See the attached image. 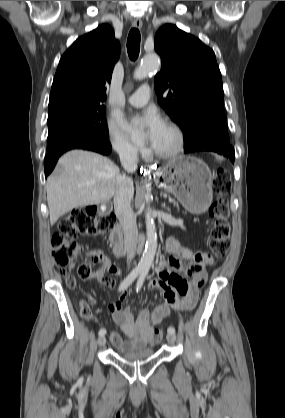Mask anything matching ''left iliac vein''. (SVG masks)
<instances>
[{
    "label": "left iliac vein",
    "mask_w": 285,
    "mask_h": 418,
    "mask_svg": "<svg viewBox=\"0 0 285 418\" xmlns=\"http://www.w3.org/2000/svg\"><path fill=\"white\" fill-rule=\"evenodd\" d=\"M167 340L168 342H170L171 344H174L176 342V336L173 333H168L167 334Z\"/></svg>",
    "instance_id": "left-iliac-vein-1"
}]
</instances>
